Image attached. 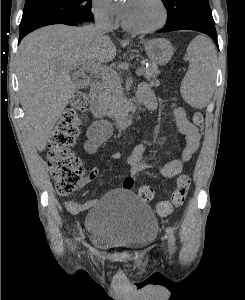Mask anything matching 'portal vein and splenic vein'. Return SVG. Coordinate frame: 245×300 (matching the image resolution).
<instances>
[{"instance_id":"18ae733b","label":"portal vein and splenic vein","mask_w":245,"mask_h":300,"mask_svg":"<svg viewBox=\"0 0 245 300\" xmlns=\"http://www.w3.org/2000/svg\"><path fill=\"white\" fill-rule=\"evenodd\" d=\"M77 67H74L73 69H76ZM111 69L108 67H105L103 65L100 64H96V63H88L86 66L81 68V72L84 73H92V74H107ZM143 74V70L142 69H137L136 70V75L137 76H141Z\"/></svg>"}]
</instances>
